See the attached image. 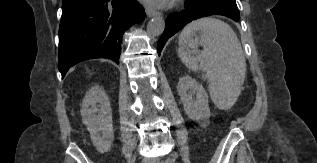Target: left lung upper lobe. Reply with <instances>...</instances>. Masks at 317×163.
I'll return each instance as SVG.
<instances>
[{
    "label": "left lung upper lobe",
    "instance_id": "5c2ea615",
    "mask_svg": "<svg viewBox=\"0 0 317 163\" xmlns=\"http://www.w3.org/2000/svg\"><path fill=\"white\" fill-rule=\"evenodd\" d=\"M206 2H216L238 9L235 0H204Z\"/></svg>",
    "mask_w": 317,
    "mask_h": 163
}]
</instances>
